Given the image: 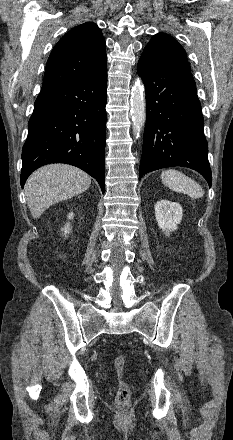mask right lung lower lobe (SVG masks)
<instances>
[{
  "label": "right lung lower lobe",
  "mask_w": 233,
  "mask_h": 440,
  "mask_svg": "<svg viewBox=\"0 0 233 440\" xmlns=\"http://www.w3.org/2000/svg\"><path fill=\"white\" fill-rule=\"evenodd\" d=\"M107 69L72 85L42 89L22 150L21 186L40 166L67 163L94 177L104 193Z\"/></svg>",
  "instance_id": "right-lung-lower-lobe-1"
}]
</instances>
